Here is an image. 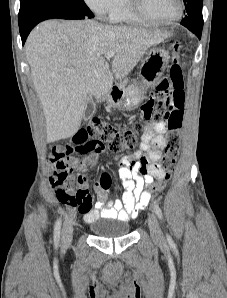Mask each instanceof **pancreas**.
Returning <instances> with one entry per match:
<instances>
[{
    "label": "pancreas",
    "mask_w": 227,
    "mask_h": 298,
    "mask_svg": "<svg viewBox=\"0 0 227 298\" xmlns=\"http://www.w3.org/2000/svg\"><path fill=\"white\" fill-rule=\"evenodd\" d=\"M127 83H128V79H124L122 82H120V83L118 84V86H119L121 89H125Z\"/></svg>",
    "instance_id": "pancreas-1"
}]
</instances>
